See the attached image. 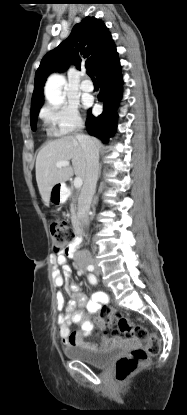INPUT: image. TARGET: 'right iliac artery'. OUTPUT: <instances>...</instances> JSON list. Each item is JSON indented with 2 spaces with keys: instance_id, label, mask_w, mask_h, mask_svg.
Instances as JSON below:
<instances>
[{
  "instance_id": "right-iliac-artery-1",
  "label": "right iliac artery",
  "mask_w": 187,
  "mask_h": 415,
  "mask_svg": "<svg viewBox=\"0 0 187 415\" xmlns=\"http://www.w3.org/2000/svg\"><path fill=\"white\" fill-rule=\"evenodd\" d=\"M88 270H89V271H93V270H94V267H93L92 265H89V266H88Z\"/></svg>"
}]
</instances>
